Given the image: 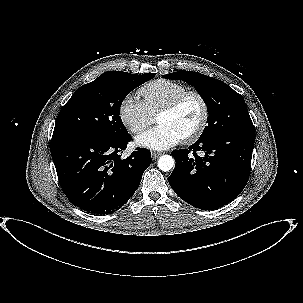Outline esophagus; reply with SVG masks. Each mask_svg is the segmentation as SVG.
Segmentation results:
<instances>
[{
    "instance_id": "1",
    "label": "esophagus",
    "mask_w": 303,
    "mask_h": 303,
    "mask_svg": "<svg viewBox=\"0 0 303 303\" xmlns=\"http://www.w3.org/2000/svg\"><path fill=\"white\" fill-rule=\"evenodd\" d=\"M160 155H161L160 152H155V151H153V152L151 153V156H152V159H153V160L157 159Z\"/></svg>"
}]
</instances>
